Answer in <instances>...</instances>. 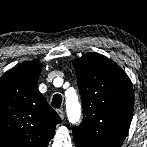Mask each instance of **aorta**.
Listing matches in <instances>:
<instances>
[{"mask_svg":"<svg viewBox=\"0 0 147 147\" xmlns=\"http://www.w3.org/2000/svg\"><path fill=\"white\" fill-rule=\"evenodd\" d=\"M66 109L69 121L72 123L78 122L81 115V106L75 95L66 99Z\"/></svg>","mask_w":147,"mask_h":147,"instance_id":"aorta-1","label":"aorta"}]
</instances>
